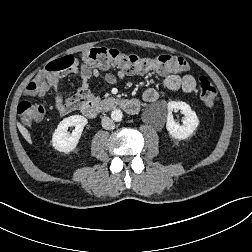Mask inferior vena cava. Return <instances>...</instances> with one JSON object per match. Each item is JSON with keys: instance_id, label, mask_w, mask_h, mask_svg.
<instances>
[{"instance_id": "inferior-vena-cava-1", "label": "inferior vena cava", "mask_w": 252, "mask_h": 252, "mask_svg": "<svg viewBox=\"0 0 252 252\" xmlns=\"http://www.w3.org/2000/svg\"><path fill=\"white\" fill-rule=\"evenodd\" d=\"M102 127L104 128V129H106V130H112V129H114L115 128V124H114V122H113V120L112 119H110L109 117H107V116H104L103 118H102Z\"/></svg>"}]
</instances>
